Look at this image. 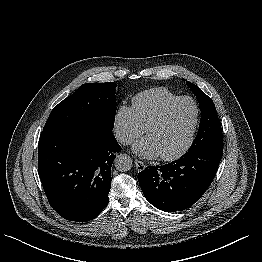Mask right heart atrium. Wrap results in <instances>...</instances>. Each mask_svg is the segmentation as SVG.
I'll list each match as a JSON object with an SVG mask.
<instances>
[{"mask_svg":"<svg viewBox=\"0 0 262 262\" xmlns=\"http://www.w3.org/2000/svg\"><path fill=\"white\" fill-rule=\"evenodd\" d=\"M144 128L137 120L131 107L120 105L113 117V132L123 145H129L144 133Z\"/></svg>","mask_w":262,"mask_h":262,"instance_id":"obj_1","label":"right heart atrium"}]
</instances>
